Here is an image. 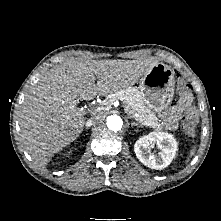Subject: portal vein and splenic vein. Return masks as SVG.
<instances>
[{
	"mask_svg": "<svg viewBox=\"0 0 221 221\" xmlns=\"http://www.w3.org/2000/svg\"><path fill=\"white\" fill-rule=\"evenodd\" d=\"M100 110H103V108H101V107H98L97 108V111H100ZM83 111V110H82Z\"/></svg>",
	"mask_w": 221,
	"mask_h": 221,
	"instance_id": "portal-vein-and-splenic-vein-1",
	"label": "portal vein and splenic vein"
}]
</instances>
